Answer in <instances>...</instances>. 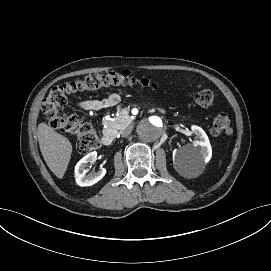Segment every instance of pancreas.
Returning <instances> with one entry per match:
<instances>
[{
  "mask_svg": "<svg viewBox=\"0 0 271 271\" xmlns=\"http://www.w3.org/2000/svg\"><path fill=\"white\" fill-rule=\"evenodd\" d=\"M123 114V115H122ZM122 114L112 118V119H102V125H106V128L109 130H113L116 133L121 129V127H126L131 123V118L128 116L129 111L124 109Z\"/></svg>",
  "mask_w": 271,
  "mask_h": 271,
  "instance_id": "pancreas-1",
  "label": "pancreas"
}]
</instances>
